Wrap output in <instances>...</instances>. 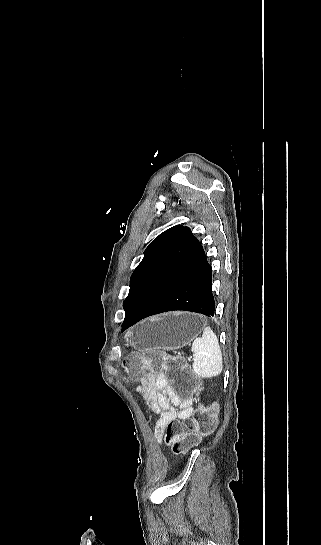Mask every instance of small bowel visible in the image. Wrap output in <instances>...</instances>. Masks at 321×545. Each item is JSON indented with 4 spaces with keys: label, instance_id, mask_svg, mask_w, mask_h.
Wrapping results in <instances>:
<instances>
[{
    "label": "small bowel",
    "instance_id": "obj_1",
    "mask_svg": "<svg viewBox=\"0 0 321 545\" xmlns=\"http://www.w3.org/2000/svg\"><path fill=\"white\" fill-rule=\"evenodd\" d=\"M137 391L145 403L159 419L155 424L154 435L158 442L162 441L164 429L171 420L184 421L193 413L192 398H181L163 377H144Z\"/></svg>",
    "mask_w": 321,
    "mask_h": 545
}]
</instances>
